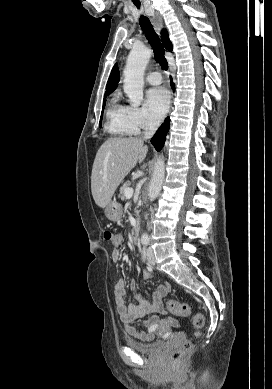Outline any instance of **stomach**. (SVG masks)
I'll return each instance as SVG.
<instances>
[{"mask_svg":"<svg viewBox=\"0 0 272 389\" xmlns=\"http://www.w3.org/2000/svg\"><path fill=\"white\" fill-rule=\"evenodd\" d=\"M105 215L111 221L120 220L122 217V205L115 199L111 200L105 208Z\"/></svg>","mask_w":272,"mask_h":389,"instance_id":"stomach-1","label":"stomach"}]
</instances>
